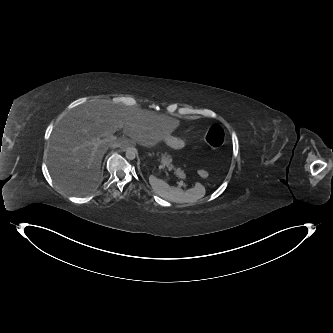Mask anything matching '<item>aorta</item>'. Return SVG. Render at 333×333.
Listing matches in <instances>:
<instances>
[{"mask_svg": "<svg viewBox=\"0 0 333 333\" xmlns=\"http://www.w3.org/2000/svg\"><path fill=\"white\" fill-rule=\"evenodd\" d=\"M137 151L133 147H129L126 150L125 156L128 160H134L136 158Z\"/></svg>", "mask_w": 333, "mask_h": 333, "instance_id": "762f6f07", "label": "aorta"}]
</instances>
